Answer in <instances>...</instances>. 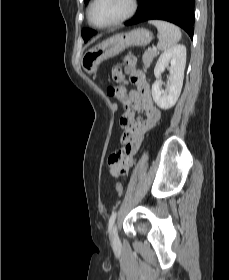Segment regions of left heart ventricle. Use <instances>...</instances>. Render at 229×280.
Masks as SVG:
<instances>
[{
    "mask_svg": "<svg viewBox=\"0 0 229 280\" xmlns=\"http://www.w3.org/2000/svg\"><path fill=\"white\" fill-rule=\"evenodd\" d=\"M128 8V0H99L92 10V22L106 24L125 14Z\"/></svg>",
    "mask_w": 229,
    "mask_h": 280,
    "instance_id": "obj_1",
    "label": "left heart ventricle"
}]
</instances>
